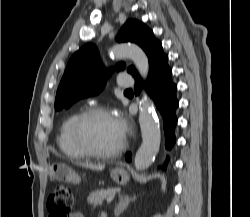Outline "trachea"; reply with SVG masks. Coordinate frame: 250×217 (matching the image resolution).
<instances>
[{"mask_svg": "<svg viewBox=\"0 0 250 217\" xmlns=\"http://www.w3.org/2000/svg\"><path fill=\"white\" fill-rule=\"evenodd\" d=\"M126 91H132L131 89H127Z\"/></svg>", "mask_w": 250, "mask_h": 217, "instance_id": "obj_1", "label": "trachea"}]
</instances>
